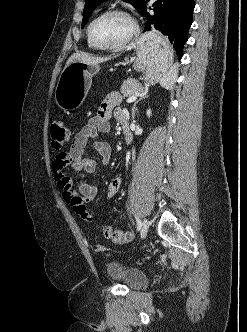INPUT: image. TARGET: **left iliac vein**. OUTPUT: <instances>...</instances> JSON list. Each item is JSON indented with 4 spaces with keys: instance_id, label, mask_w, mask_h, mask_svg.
Instances as JSON below:
<instances>
[{
    "instance_id": "left-iliac-vein-1",
    "label": "left iliac vein",
    "mask_w": 247,
    "mask_h": 332,
    "mask_svg": "<svg viewBox=\"0 0 247 332\" xmlns=\"http://www.w3.org/2000/svg\"><path fill=\"white\" fill-rule=\"evenodd\" d=\"M149 229V221L147 219L143 220L141 227V238H145Z\"/></svg>"
}]
</instances>
